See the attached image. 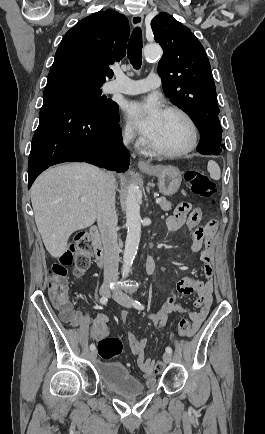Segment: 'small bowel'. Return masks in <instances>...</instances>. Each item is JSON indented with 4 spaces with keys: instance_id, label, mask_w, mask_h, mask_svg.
<instances>
[{
    "instance_id": "c3829d8e",
    "label": "small bowel",
    "mask_w": 265,
    "mask_h": 434,
    "mask_svg": "<svg viewBox=\"0 0 265 434\" xmlns=\"http://www.w3.org/2000/svg\"><path fill=\"white\" fill-rule=\"evenodd\" d=\"M189 209V203L184 202L179 204L174 213L167 218L166 230L168 232H176L184 225H187L190 230L196 227L201 219V211L196 209L188 216ZM211 224H214L215 230L207 236L201 237L198 232L204 229L206 225ZM216 228V221L211 220L201 226L194 235L191 248L194 252L199 253L200 260L203 263L201 278L195 279L184 277L176 283L159 311L150 314L156 328H162L166 324L168 315L172 312L187 313V309L177 303V297L180 294H197L194 306L198 308L199 311L187 313V319L191 323V332L187 337L195 335L208 316L212 304L213 267L211 263V251ZM127 316V312L122 313L123 322L126 321ZM143 316L146 318L148 315L145 313ZM107 321V316L104 314H98L94 319H91L89 316L81 312H76L71 319V322L74 325L79 326L82 329H89L90 335L94 340H99L107 335ZM128 342L131 346L132 352L137 355V363L143 372L147 385L152 386L155 382V376L153 373L154 361L150 358H145L144 351L148 344L147 339H138L135 335L129 334Z\"/></svg>"
}]
</instances>
